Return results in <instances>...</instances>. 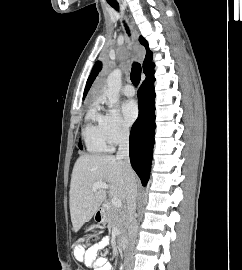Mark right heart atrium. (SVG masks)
Masks as SVG:
<instances>
[{
  "label": "right heart atrium",
  "instance_id": "obj_1",
  "mask_svg": "<svg viewBox=\"0 0 242 270\" xmlns=\"http://www.w3.org/2000/svg\"><path fill=\"white\" fill-rule=\"evenodd\" d=\"M104 127L111 145H117L125 141L130 129L121 115L116 110H108L104 114Z\"/></svg>",
  "mask_w": 242,
  "mask_h": 270
}]
</instances>
